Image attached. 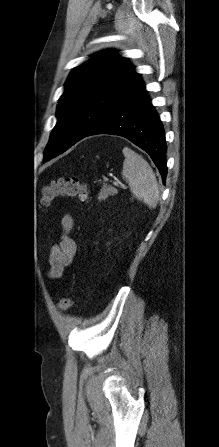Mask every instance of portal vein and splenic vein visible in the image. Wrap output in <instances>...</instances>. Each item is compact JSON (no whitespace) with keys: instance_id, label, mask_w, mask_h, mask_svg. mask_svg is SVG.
<instances>
[{"instance_id":"1","label":"portal vein and splenic vein","mask_w":219,"mask_h":447,"mask_svg":"<svg viewBox=\"0 0 219 447\" xmlns=\"http://www.w3.org/2000/svg\"><path fill=\"white\" fill-rule=\"evenodd\" d=\"M112 184L116 187L122 186V184L117 181H112Z\"/></svg>"}]
</instances>
